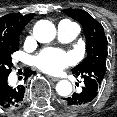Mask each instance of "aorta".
Returning a JSON list of instances; mask_svg holds the SVG:
<instances>
[{"label":"aorta","instance_id":"762f6f07","mask_svg":"<svg viewBox=\"0 0 117 117\" xmlns=\"http://www.w3.org/2000/svg\"><path fill=\"white\" fill-rule=\"evenodd\" d=\"M33 34L38 42L48 43L55 38L56 28L52 22L40 20L35 24ZM56 91L60 96L67 97L72 92V84L67 80H61L56 85Z\"/></svg>","mask_w":117,"mask_h":117}]
</instances>
